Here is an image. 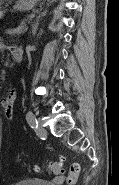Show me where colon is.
Instances as JSON below:
<instances>
[{"label":"colon","instance_id":"5ec220e1","mask_svg":"<svg viewBox=\"0 0 119 185\" xmlns=\"http://www.w3.org/2000/svg\"><path fill=\"white\" fill-rule=\"evenodd\" d=\"M37 170V168H35ZM46 169L49 173L60 174L64 171V160L59 159L47 164ZM80 175V165L73 163L66 178L67 185H77Z\"/></svg>","mask_w":119,"mask_h":185}]
</instances>
